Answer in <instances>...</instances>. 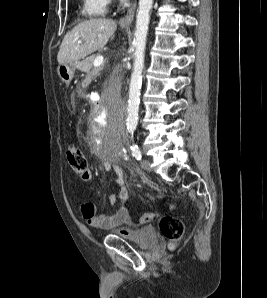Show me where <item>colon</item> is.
Listing matches in <instances>:
<instances>
[{
	"instance_id": "colon-1",
	"label": "colon",
	"mask_w": 267,
	"mask_h": 298,
	"mask_svg": "<svg viewBox=\"0 0 267 298\" xmlns=\"http://www.w3.org/2000/svg\"><path fill=\"white\" fill-rule=\"evenodd\" d=\"M66 158L72 168L82 179H86L89 174L88 162L83 152L76 145H69L66 149ZM154 218V213L147 212L140 217L141 224L150 222ZM162 235L169 241L170 246H174L183 236L184 224L182 220L175 216H165L159 223Z\"/></svg>"
}]
</instances>
